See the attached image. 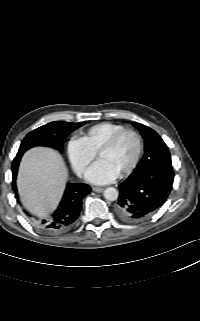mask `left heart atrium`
Wrapping results in <instances>:
<instances>
[{
    "mask_svg": "<svg viewBox=\"0 0 200 321\" xmlns=\"http://www.w3.org/2000/svg\"><path fill=\"white\" fill-rule=\"evenodd\" d=\"M119 173L105 160L99 159L85 174L86 179L94 184H106L118 177Z\"/></svg>",
    "mask_w": 200,
    "mask_h": 321,
    "instance_id": "obj_1",
    "label": "left heart atrium"
}]
</instances>
